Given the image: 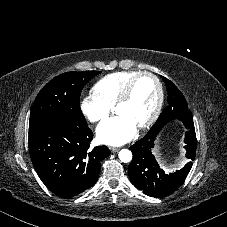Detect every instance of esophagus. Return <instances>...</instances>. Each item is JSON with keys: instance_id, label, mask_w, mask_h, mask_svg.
Segmentation results:
<instances>
[{"instance_id": "obj_1", "label": "esophagus", "mask_w": 227, "mask_h": 227, "mask_svg": "<svg viewBox=\"0 0 227 227\" xmlns=\"http://www.w3.org/2000/svg\"><path fill=\"white\" fill-rule=\"evenodd\" d=\"M109 149H110V151L113 152V153H115V152H117V151L119 150L118 147H113V146H110Z\"/></svg>"}]
</instances>
